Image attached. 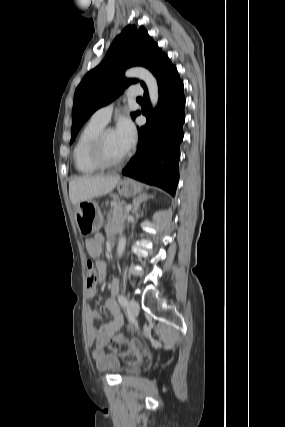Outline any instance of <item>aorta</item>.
Wrapping results in <instances>:
<instances>
[{"label": "aorta", "mask_w": 285, "mask_h": 427, "mask_svg": "<svg viewBox=\"0 0 285 427\" xmlns=\"http://www.w3.org/2000/svg\"><path fill=\"white\" fill-rule=\"evenodd\" d=\"M125 76L128 78H139L140 80L144 81L149 92V98L152 104V107H156L158 99H159V92H158V84L153 76V74L143 68V67H133L126 71ZM126 247V238L124 236L120 237L118 240L117 245V256L120 258L122 257Z\"/></svg>", "instance_id": "1"}]
</instances>
